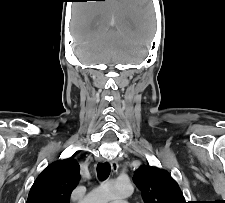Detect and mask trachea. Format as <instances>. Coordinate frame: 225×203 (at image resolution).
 <instances>
[{
    "label": "trachea",
    "mask_w": 225,
    "mask_h": 203,
    "mask_svg": "<svg viewBox=\"0 0 225 203\" xmlns=\"http://www.w3.org/2000/svg\"><path fill=\"white\" fill-rule=\"evenodd\" d=\"M110 165L109 163L105 162V163H99L97 165V174H98V178L100 180H105L109 174H110Z\"/></svg>",
    "instance_id": "obj_1"
}]
</instances>
